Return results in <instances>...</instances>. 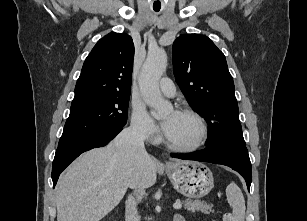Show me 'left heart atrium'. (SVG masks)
I'll use <instances>...</instances> for the list:
<instances>
[{"mask_svg": "<svg viewBox=\"0 0 307 221\" xmlns=\"http://www.w3.org/2000/svg\"><path fill=\"white\" fill-rule=\"evenodd\" d=\"M170 124H171V121H164L163 122L162 127H163L165 134L168 132V130L170 128Z\"/></svg>", "mask_w": 307, "mask_h": 221, "instance_id": "obj_1", "label": "left heart atrium"}]
</instances>
